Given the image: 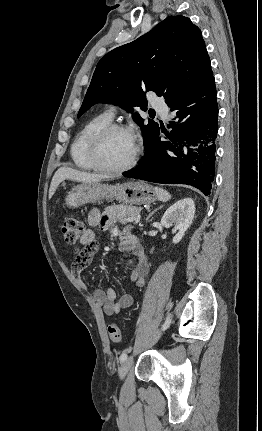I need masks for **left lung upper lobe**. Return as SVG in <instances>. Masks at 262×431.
Masks as SVG:
<instances>
[{
	"label": "left lung upper lobe",
	"mask_w": 262,
	"mask_h": 431,
	"mask_svg": "<svg viewBox=\"0 0 262 431\" xmlns=\"http://www.w3.org/2000/svg\"><path fill=\"white\" fill-rule=\"evenodd\" d=\"M213 78L210 59L200 29L184 16H169L137 40L107 53L97 64L78 112L80 117L95 103H110L133 112L147 110L145 91L163 96L170 105L181 102ZM147 146L158 124L138 113Z\"/></svg>",
	"instance_id": "5c2ea615"
}]
</instances>
